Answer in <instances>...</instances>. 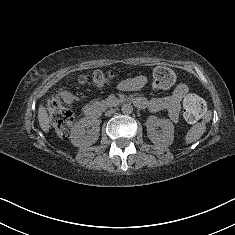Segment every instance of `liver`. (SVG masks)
I'll return each mask as SVG.
<instances>
[{
    "mask_svg": "<svg viewBox=\"0 0 235 235\" xmlns=\"http://www.w3.org/2000/svg\"><path fill=\"white\" fill-rule=\"evenodd\" d=\"M38 119H39V124H40L41 129L44 132H48V130L50 129L49 118H48L47 111L45 107H43V105H40L38 108Z\"/></svg>",
    "mask_w": 235,
    "mask_h": 235,
    "instance_id": "6515ba94",
    "label": "liver"
}]
</instances>
